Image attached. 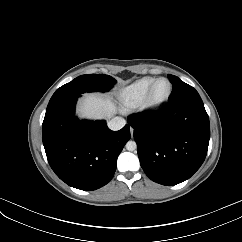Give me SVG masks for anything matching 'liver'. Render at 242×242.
<instances>
[{
    "label": "liver",
    "instance_id": "liver-1",
    "mask_svg": "<svg viewBox=\"0 0 242 242\" xmlns=\"http://www.w3.org/2000/svg\"><path fill=\"white\" fill-rule=\"evenodd\" d=\"M80 118L102 119L115 113V105L108 96L95 93L85 94L77 107Z\"/></svg>",
    "mask_w": 242,
    "mask_h": 242
}]
</instances>
